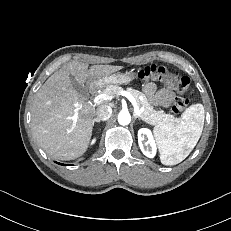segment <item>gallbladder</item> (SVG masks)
Returning <instances> with one entry per match:
<instances>
[{"label":"gallbladder","mask_w":231,"mask_h":231,"mask_svg":"<svg viewBox=\"0 0 231 231\" xmlns=\"http://www.w3.org/2000/svg\"><path fill=\"white\" fill-rule=\"evenodd\" d=\"M70 80L72 83L73 88L81 95L86 93V88L84 87V85H82L81 83H79L76 78L74 76H70Z\"/></svg>","instance_id":"1"}]
</instances>
